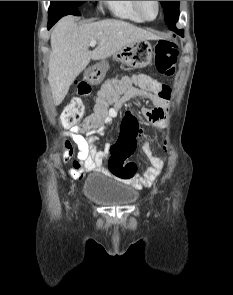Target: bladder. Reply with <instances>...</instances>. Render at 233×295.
Listing matches in <instances>:
<instances>
[{
    "instance_id": "31cf9c89",
    "label": "bladder",
    "mask_w": 233,
    "mask_h": 295,
    "mask_svg": "<svg viewBox=\"0 0 233 295\" xmlns=\"http://www.w3.org/2000/svg\"><path fill=\"white\" fill-rule=\"evenodd\" d=\"M83 193L87 199L107 206H128L139 196L132 186L101 174L88 177L83 185Z\"/></svg>"
}]
</instances>
